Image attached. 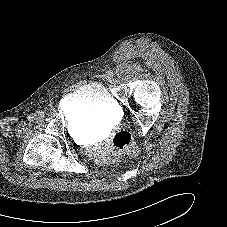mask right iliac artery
<instances>
[{"label": "right iliac artery", "instance_id": "82829eb1", "mask_svg": "<svg viewBox=\"0 0 227 227\" xmlns=\"http://www.w3.org/2000/svg\"><path fill=\"white\" fill-rule=\"evenodd\" d=\"M28 119L31 121V120L34 119V116H33V115H29V116H28Z\"/></svg>", "mask_w": 227, "mask_h": 227}]
</instances>
